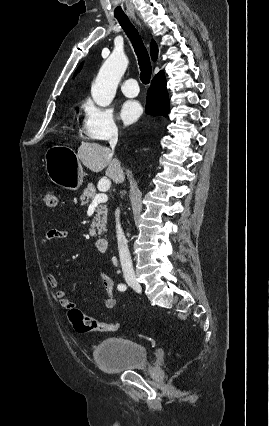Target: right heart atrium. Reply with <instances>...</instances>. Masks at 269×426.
<instances>
[{
	"label": "right heart atrium",
	"mask_w": 269,
	"mask_h": 426,
	"mask_svg": "<svg viewBox=\"0 0 269 426\" xmlns=\"http://www.w3.org/2000/svg\"><path fill=\"white\" fill-rule=\"evenodd\" d=\"M81 130L83 135L91 140H108L120 133L113 111L95 104L90 99L83 103Z\"/></svg>",
	"instance_id": "d8ad5b80"
}]
</instances>
